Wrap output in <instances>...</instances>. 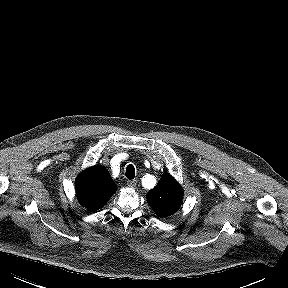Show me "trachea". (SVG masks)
Segmentation results:
<instances>
[{"label": "trachea", "mask_w": 288, "mask_h": 288, "mask_svg": "<svg viewBox=\"0 0 288 288\" xmlns=\"http://www.w3.org/2000/svg\"><path fill=\"white\" fill-rule=\"evenodd\" d=\"M127 179L132 180L135 177V168L133 165H128L125 173Z\"/></svg>", "instance_id": "1"}]
</instances>
